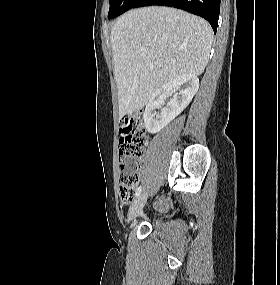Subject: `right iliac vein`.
Listing matches in <instances>:
<instances>
[{"instance_id":"1","label":"right iliac vein","mask_w":280,"mask_h":285,"mask_svg":"<svg viewBox=\"0 0 280 285\" xmlns=\"http://www.w3.org/2000/svg\"><path fill=\"white\" fill-rule=\"evenodd\" d=\"M147 200V195L145 193L141 194L135 202L130 207L129 213H128V219L129 221H133L139 213L142 211L145 203Z\"/></svg>"}]
</instances>
